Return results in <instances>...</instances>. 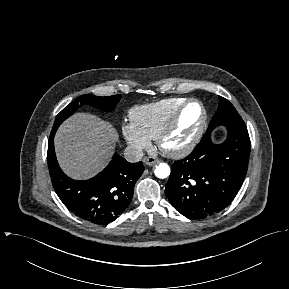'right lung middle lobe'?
I'll use <instances>...</instances> for the list:
<instances>
[{
  "label": "right lung middle lobe",
  "instance_id": "right-lung-middle-lobe-1",
  "mask_svg": "<svg viewBox=\"0 0 289 289\" xmlns=\"http://www.w3.org/2000/svg\"><path fill=\"white\" fill-rule=\"evenodd\" d=\"M120 95L108 97H99L93 95H82L69 105H67L56 117L52 131H56L60 124L71 116L79 107L83 105H91L104 111H113L120 101Z\"/></svg>",
  "mask_w": 289,
  "mask_h": 289
}]
</instances>
